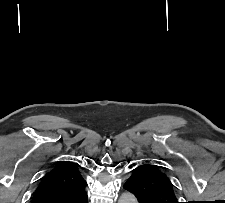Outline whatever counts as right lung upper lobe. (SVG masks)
Returning <instances> with one entry per match:
<instances>
[{"mask_svg":"<svg viewBox=\"0 0 225 203\" xmlns=\"http://www.w3.org/2000/svg\"><path fill=\"white\" fill-rule=\"evenodd\" d=\"M86 186L78 167L64 163L42 178L31 203H72L86 194Z\"/></svg>","mask_w":225,"mask_h":203,"instance_id":"1","label":"right lung upper lobe"}]
</instances>
